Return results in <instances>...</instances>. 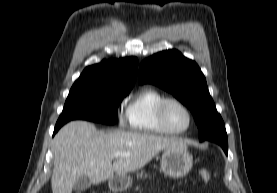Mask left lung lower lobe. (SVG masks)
Returning a JSON list of instances; mask_svg holds the SVG:
<instances>
[{"mask_svg": "<svg viewBox=\"0 0 277 193\" xmlns=\"http://www.w3.org/2000/svg\"><path fill=\"white\" fill-rule=\"evenodd\" d=\"M209 140L218 143L223 148L224 152L226 154L228 153L227 133L215 134Z\"/></svg>", "mask_w": 277, "mask_h": 193, "instance_id": "left-lung-lower-lobe-1", "label": "left lung lower lobe"}]
</instances>
